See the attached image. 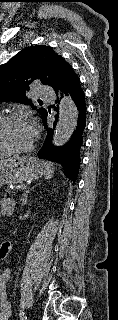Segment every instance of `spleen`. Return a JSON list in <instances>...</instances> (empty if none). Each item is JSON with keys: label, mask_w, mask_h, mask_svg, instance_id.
I'll return each mask as SVG.
<instances>
[{"label": "spleen", "mask_w": 118, "mask_h": 320, "mask_svg": "<svg viewBox=\"0 0 118 320\" xmlns=\"http://www.w3.org/2000/svg\"><path fill=\"white\" fill-rule=\"evenodd\" d=\"M44 165L46 169L45 171L46 179H51L53 177L55 168L51 162H45Z\"/></svg>", "instance_id": "1"}]
</instances>
